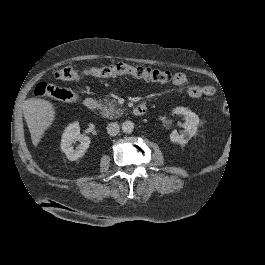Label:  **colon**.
Returning <instances> with one entry per match:
<instances>
[{"label": "colon", "instance_id": "obj_1", "mask_svg": "<svg viewBox=\"0 0 265 265\" xmlns=\"http://www.w3.org/2000/svg\"><path fill=\"white\" fill-rule=\"evenodd\" d=\"M85 74L92 77L103 78L118 75H130L139 80L158 83H166L171 79V74L168 71L141 66H132L126 63L88 68L85 70ZM56 78L62 81H70L74 83H79L80 81L79 74L72 67H63L57 70ZM34 94L39 97H50L65 102H74L79 97L76 90L59 87L45 82H41L35 87Z\"/></svg>", "mask_w": 265, "mask_h": 265}]
</instances>
